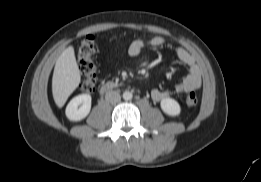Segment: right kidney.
<instances>
[{"label":"right kidney","mask_w":261,"mask_h":182,"mask_svg":"<svg viewBox=\"0 0 261 182\" xmlns=\"http://www.w3.org/2000/svg\"><path fill=\"white\" fill-rule=\"evenodd\" d=\"M91 110V96L81 94L74 97L66 107V116L70 121H80L84 119Z\"/></svg>","instance_id":"obj_1"}]
</instances>
